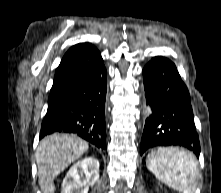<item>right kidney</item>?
I'll return each mask as SVG.
<instances>
[{"label": "right kidney", "mask_w": 221, "mask_h": 193, "mask_svg": "<svg viewBox=\"0 0 221 193\" xmlns=\"http://www.w3.org/2000/svg\"><path fill=\"white\" fill-rule=\"evenodd\" d=\"M98 179V160L86 157L70 168L63 180L61 193H88L89 185H93Z\"/></svg>", "instance_id": "obj_1"}]
</instances>
